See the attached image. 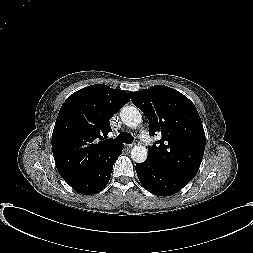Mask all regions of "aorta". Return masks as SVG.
<instances>
[{"label": "aorta", "mask_w": 253, "mask_h": 253, "mask_svg": "<svg viewBox=\"0 0 253 253\" xmlns=\"http://www.w3.org/2000/svg\"><path fill=\"white\" fill-rule=\"evenodd\" d=\"M122 122L131 128H136L142 123V115L134 106H125L120 111ZM147 149L143 145H136L131 150V158L136 163H142L147 159Z\"/></svg>", "instance_id": "762f6f07"}]
</instances>
